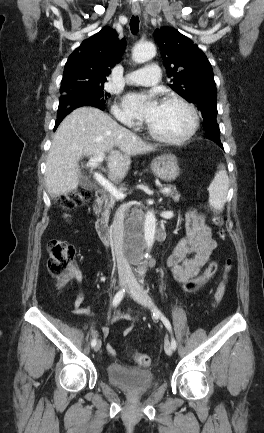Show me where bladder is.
Instances as JSON below:
<instances>
[{"label":"bladder","instance_id":"31cf9c89","mask_svg":"<svg viewBox=\"0 0 264 433\" xmlns=\"http://www.w3.org/2000/svg\"><path fill=\"white\" fill-rule=\"evenodd\" d=\"M109 381L129 393H147L154 386L153 374L149 371L111 363L106 369Z\"/></svg>","mask_w":264,"mask_h":433}]
</instances>
